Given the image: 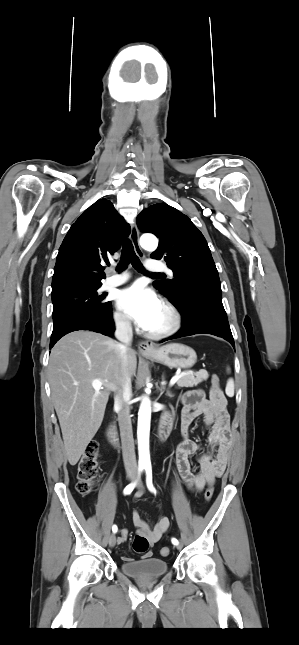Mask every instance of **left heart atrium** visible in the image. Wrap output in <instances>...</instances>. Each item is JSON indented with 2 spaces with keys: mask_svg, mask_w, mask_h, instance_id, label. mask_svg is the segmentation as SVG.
<instances>
[{
  "mask_svg": "<svg viewBox=\"0 0 299 645\" xmlns=\"http://www.w3.org/2000/svg\"><path fill=\"white\" fill-rule=\"evenodd\" d=\"M117 306L141 328L148 330L161 311L162 302L154 292L135 283L118 293Z\"/></svg>",
  "mask_w": 299,
  "mask_h": 645,
  "instance_id": "39dd6f15",
  "label": "left heart atrium"
}]
</instances>
